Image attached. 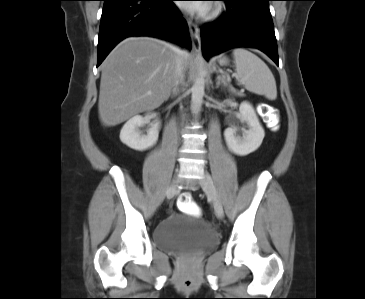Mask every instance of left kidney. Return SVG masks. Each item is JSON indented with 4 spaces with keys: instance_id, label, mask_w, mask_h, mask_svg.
Masks as SVG:
<instances>
[{
    "instance_id": "5707ae66",
    "label": "left kidney",
    "mask_w": 365,
    "mask_h": 299,
    "mask_svg": "<svg viewBox=\"0 0 365 299\" xmlns=\"http://www.w3.org/2000/svg\"><path fill=\"white\" fill-rule=\"evenodd\" d=\"M240 119L247 123L249 129L243 130L242 137L237 136L235 127L227 128L224 137L229 149L240 156H246L257 150L265 136L263 127L252 105L246 101L239 106Z\"/></svg>"
}]
</instances>
